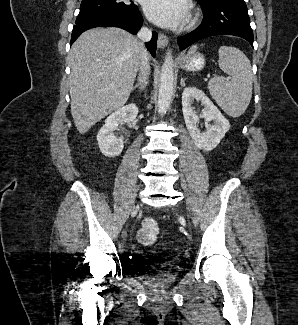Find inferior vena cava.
<instances>
[{
	"label": "inferior vena cava",
	"instance_id": "1",
	"mask_svg": "<svg viewBox=\"0 0 298 325\" xmlns=\"http://www.w3.org/2000/svg\"><path fill=\"white\" fill-rule=\"evenodd\" d=\"M137 36L140 38V40H142V42H148V40H151L153 36L152 30H150V28H147V26H142L139 32H137ZM139 70H141L140 74H144L145 80H148L151 68L149 64L148 50H146L145 46L143 48Z\"/></svg>",
	"mask_w": 298,
	"mask_h": 325
}]
</instances>
